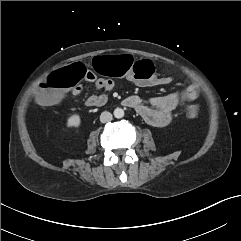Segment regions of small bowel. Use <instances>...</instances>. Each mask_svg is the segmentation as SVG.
<instances>
[{
    "label": "small bowel",
    "mask_w": 241,
    "mask_h": 241,
    "mask_svg": "<svg viewBox=\"0 0 241 241\" xmlns=\"http://www.w3.org/2000/svg\"><path fill=\"white\" fill-rule=\"evenodd\" d=\"M84 79L93 82L95 87V93L86 98L85 106L89 108L104 106L108 101V93L115 87L114 80L106 77H97L92 70H88V75ZM170 80L169 77H151L139 81L138 84L142 87H152L165 85ZM82 91V86L77 84L72 88L71 94L79 96ZM198 95L199 87L196 84H191L181 91L149 99H144L138 95H130L123 100V104L134 109L148 124L155 127H164L171 122L173 110L182 106L185 102L195 100Z\"/></svg>",
    "instance_id": "small-bowel-1"
}]
</instances>
